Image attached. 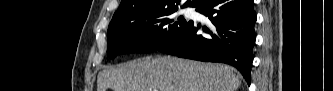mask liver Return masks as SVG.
Listing matches in <instances>:
<instances>
[{"label": "liver", "instance_id": "1", "mask_svg": "<svg viewBox=\"0 0 333 91\" xmlns=\"http://www.w3.org/2000/svg\"><path fill=\"white\" fill-rule=\"evenodd\" d=\"M240 84L231 66L157 56L99 72L97 91H236Z\"/></svg>", "mask_w": 333, "mask_h": 91}]
</instances>
